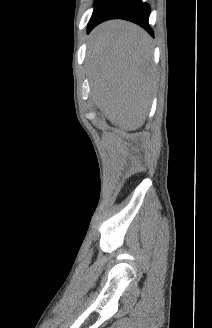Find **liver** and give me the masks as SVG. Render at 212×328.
Returning <instances> with one entry per match:
<instances>
[{
    "label": "liver",
    "mask_w": 212,
    "mask_h": 328,
    "mask_svg": "<svg viewBox=\"0 0 212 328\" xmlns=\"http://www.w3.org/2000/svg\"><path fill=\"white\" fill-rule=\"evenodd\" d=\"M87 56L97 107L121 129L140 128L155 87L150 36L133 23L107 21L92 31Z\"/></svg>",
    "instance_id": "1"
}]
</instances>
